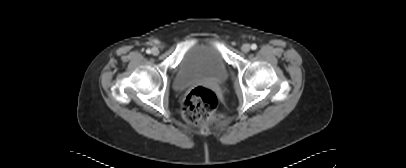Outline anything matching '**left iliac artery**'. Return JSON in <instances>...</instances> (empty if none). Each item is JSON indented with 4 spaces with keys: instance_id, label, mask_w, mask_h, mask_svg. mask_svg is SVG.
Segmentation results:
<instances>
[{
    "instance_id": "44dca946",
    "label": "left iliac artery",
    "mask_w": 406,
    "mask_h": 168,
    "mask_svg": "<svg viewBox=\"0 0 406 168\" xmlns=\"http://www.w3.org/2000/svg\"><path fill=\"white\" fill-rule=\"evenodd\" d=\"M251 49H252V50H256V49H257V45H256V44H252V45H251Z\"/></svg>"
}]
</instances>
